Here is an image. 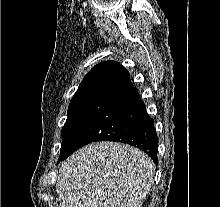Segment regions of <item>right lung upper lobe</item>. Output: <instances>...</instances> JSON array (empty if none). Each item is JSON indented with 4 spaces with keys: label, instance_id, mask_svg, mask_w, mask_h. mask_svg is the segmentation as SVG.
Returning a JSON list of instances; mask_svg holds the SVG:
<instances>
[{
    "label": "right lung upper lobe",
    "instance_id": "right-lung-upper-lobe-1",
    "mask_svg": "<svg viewBox=\"0 0 220 207\" xmlns=\"http://www.w3.org/2000/svg\"><path fill=\"white\" fill-rule=\"evenodd\" d=\"M123 70H125V68L118 62L103 61L93 67L91 71L85 75L84 79L79 85V88L94 83H103L106 79Z\"/></svg>",
    "mask_w": 220,
    "mask_h": 207
}]
</instances>
